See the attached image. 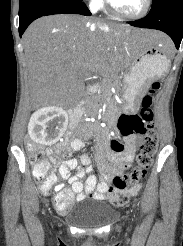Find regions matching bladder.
Returning a JSON list of instances; mask_svg holds the SVG:
<instances>
[{
    "label": "bladder",
    "instance_id": "1",
    "mask_svg": "<svg viewBox=\"0 0 183 246\" xmlns=\"http://www.w3.org/2000/svg\"><path fill=\"white\" fill-rule=\"evenodd\" d=\"M74 214L73 222L82 227H97L106 224L115 214L111 205L102 200Z\"/></svg>",
    "mask_w": 183,
    "mask_h": 246
}]
</instances>
